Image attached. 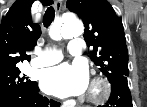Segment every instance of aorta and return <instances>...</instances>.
Here are the masks:
<instances>
[{
  "mask_svg": "<svg viewBox=\"0 0 147 107\" xmlns=\"http://www.w3.org/2000/svg\"><path fill=\"white\" fill-rule=\"evenodd\" d=\"M84 33V26L82 22L75 18L64 20L60 27V35L63 38H73L81 36Z\"/></svg>",
  "mask_w": 147,
  "mask_h": 107,
  "instance_id": "762f6f07",
  "label": "aorta"
}]
</instances>
